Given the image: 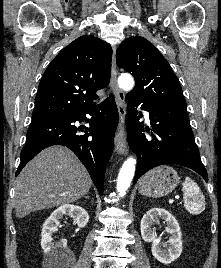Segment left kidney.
<instances>
[{
    "mask_svg": "<svg viewBox=\"0 0 221 268\" xmlns=\"http://www.w3.org/2000/svg\"><path fill=\"white\" fill-rule=\"evenodd\" d=\"M161 218L166 222V231L170 234L169 240L161 244V238H157L152 229L155 219ZM141 236L145 242H152L153 256L163 264H169L180 257L182 253V233L175 217L162 208H152L144 214L141 224Z\"/></svg>",
    "mask_w": 221,
    "mask_h": 268,
    "instance_id": "5707ae66",
    "label": "left kidney"
}]
</instances>
